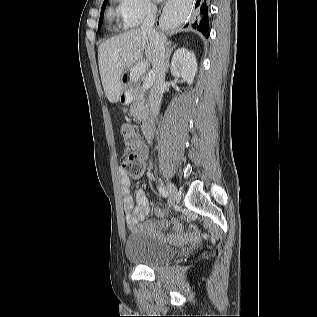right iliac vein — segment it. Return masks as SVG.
<instances>
[{
    "mask_svg": "<svg viewBox=\"0 0 317 317\" xmlns=\"http://www.w3.org/2000/svg\"><path fill=\"white\" fill-rule=\"evenodd\" d=\"M169 191V207H171L178 198L177 188L172 183L167 184Z\"/></svg>",
    "mask_w": 317,
    "mask_h": 317,
    "instance_id": "right-iliac-vein-1",
    "label": "right iliac vein"
}]
</instances>
